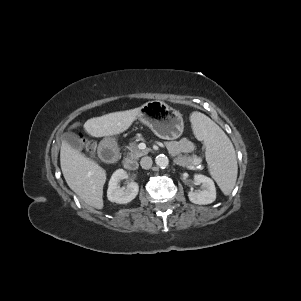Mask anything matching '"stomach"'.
Returning <instances> with one entry per match:
<instances>
[{"label":"stomach","instance_id":"stomach-1","mask_svg":"<svg viewBox=\"0 0 301 301\" xmlns=\"http://www.w3.org/2000/svg\"><path fill=\"white\" fill-rule=\"evenodd\" d=\"M139 119L162 139L179 138L184 130L181 113L162 101H150L139 108Z\"/></svg>","mask_w":301,"mask_h":301}]
</instances>
